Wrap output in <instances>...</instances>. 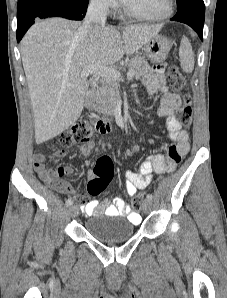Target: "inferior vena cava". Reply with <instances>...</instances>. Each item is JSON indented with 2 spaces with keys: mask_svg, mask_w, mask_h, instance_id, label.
Returning <instances> with one entry per match:
<instances>
[{
  "mask_svg": "<svg viewBox=\"0 0 227 298\" xmlns=\"http://www.w3.org/2000/svg\"><path fill=\"white\" fill-rule=\"evenodd\" d=\"M107 13V0H91L81 30L87 33L105 27Z\"/></svg>",
  "mask_w": 227,
  "mask_h": 298,
  "instance_id": "602c4592",
  "label": "inferior vena cava"
}]
</instances>
